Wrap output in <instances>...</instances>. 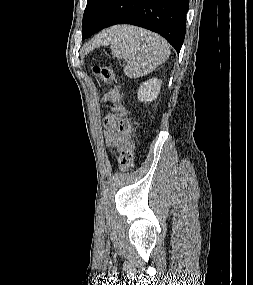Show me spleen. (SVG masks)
<instances>
[{"label":"spleen","mask_w":253,"mask_h":285,"mask_svg":"<svg viewBox=\"0 0 253 285\" xmlns=\"http://www.w3.org/2000/svg\"><path fill=\"white\" fill-rule=\"evenodd\" d=\"M107 42L114 56L128 62L124 73L129 78L148 75L170 56V46L163 37L134 26H126Z\"/></svg>","instance_id":"obj_1"}]
</instances>
